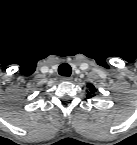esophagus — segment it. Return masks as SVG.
Wrapping results in <instances>:
<instances>
[{"label":"esophagus","mask_w":137,"mask_h":145,"mask_svg":"<svg viewBox=\"0 0 137 145\" xmlns=\"http://www.w3.org/2000/svg\"><path fill=\"white\" fill-rule=\"evenodd\" d=\"M61 80L64 81V82H68V81H71L72 78L64 76V77L61 78Z\"/></svg>","instance_id":"esophagus-1"}]
</instances>
